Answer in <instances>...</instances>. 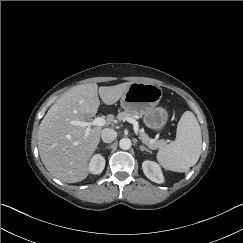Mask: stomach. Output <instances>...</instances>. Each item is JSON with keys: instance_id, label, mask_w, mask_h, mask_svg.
Segmentation results:
<instances>
[{"instance_id": "0dacf381", "label": "stomach", "mask_w": 243, "mask_h": 243, "mask_svg": "<svg viewBox=\"0 0 243 243\" xmlns=\"http://www.w3.org/2000/svg\"><path fill=\"white\" fill-rule=\"evenodd\" d=\"M162 95V89L155 84L132 82L120 104L126 112L139 115L146 127L158 132L164 129L169 118L167 110L157 106Z\"/></svg>"}]
</instances>
